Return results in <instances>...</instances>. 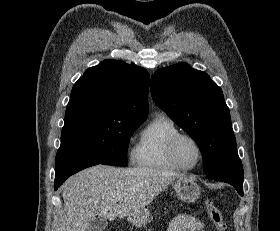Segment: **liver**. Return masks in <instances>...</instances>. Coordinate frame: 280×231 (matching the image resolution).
<instances>
[{
	"label": "liver",
	"instance_id": "6515ba94",
	"mask_svg": "<svg viewBox=\"0 0 280 231\" xmlns=\"http://www.w3.org/2000/svg\"><path fill=\"white\" fill-rule=\"evenodd\" d=\"M177 171L151 167L94 165L69 177L63 185L64 209L57 231H86L95 217H142L146 205L164 191Z\"/></svg>",
	"mask_w": 280,
	"mask_h": 231
}]
</instances>
